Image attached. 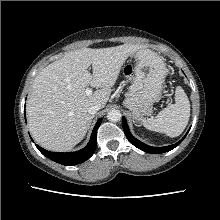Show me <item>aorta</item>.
Returning <instances> with one entry per match:
<instances>
[{
  "label": "aorta",
  "instance_id": "aorta-1",
  "mask_svg": "<svg viewBox=\"0 0 220 220\" xmlns=\"http://www.w3.org/2000/svg\"><path fill=\"white\" fill-rule=\"evenodd\" d=\"M121 112L119 110L113 109L107 113V119L111 122H118L121 120Z\"/></svg>",
  "mask_w": 220,
  "mask_h": 220
}]
</instances>
